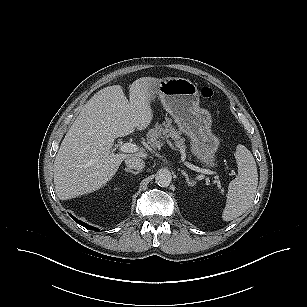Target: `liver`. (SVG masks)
Segmentation results:
<instances>
[{
	"instance_id": "6515ba94",
	"label": "liver",
	"mask_w": 307,
	"mask_h": 307,
	"mask_svg": "<svg viewBox=\"0 0 307 307\" xmlns=\"http://www.w3.org/2000/svg\"><path fill=\"white\" fill-rule=\"evenodd\" d=\"M157 80H135L129 88L130 101L122 86L113 85L98 91L84 105L54 161V184L61 200L100 189L128 157H147L144 152L115 154L112 146L115 138L143 130L151 123V84Z\"/></svg>"
}]
</instances>
